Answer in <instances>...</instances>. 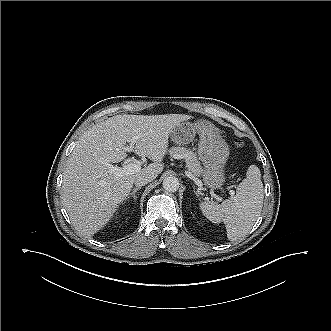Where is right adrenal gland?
I'll return each mask as SVG.
<instances>
[{"label":"right adrenal gland","mask_w":331,"mask_h":331,"mask_svg":"<svg viewBox=\"0 0 331 331\" xmlns=\"http://www.w3.org/2000/svg\"><path fill=\"white\" fill-rule=\"evenodd\" d=\"M140 189H141V187H134L133 190H132V192H131L130 195L128 196V199H129L130 197H133V199L136 201V200H137V196L135 195V193H136L137 191H139Z\"/></svg>","instance_id":"obj_1"}]
</instances>
